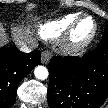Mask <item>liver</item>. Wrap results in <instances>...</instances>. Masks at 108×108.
Wrapping results in <instances>:
<instances>
[{"instance_id": "obj_1", "label": "liver", "mask_w": 108, "mask_h": 108, "mask_svg": "<svg viewBox=\"0 0 108 108\" xmlns=\"http://www.w3.org/2000/svg\"><path fill=\"white\" fill-rule=\"evenodd\" d=\"M11 37L13 41L18 44L19 42L30 43L32 42V35L29 28L26 27H13L11 29ZM8 38L5 33L4 28L1 26L0 28V45H4L7 43Z\"/></svg>"}]
</instances>
